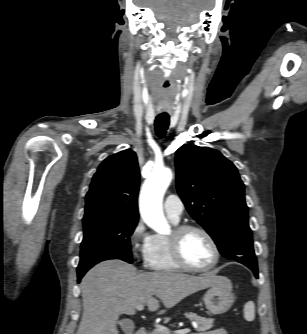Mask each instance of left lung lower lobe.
<instances>
[{
	"label": "left lung lower lobe",
	"instance_id": "1",
	"mask_svg": "<svg viewBox=\"0 0 307 334\" xmlns=\"http://www.w3.org/2000/svg\"><path fill=\"white\" fill-rule=\"evenodd\" d=\"M248 268H250L253 272L256 278H258V269H257V265L252 266V265H248Z\"/></svg>",
	"mask_w": 307,
	"mask_h": 334
}]
</instances>
